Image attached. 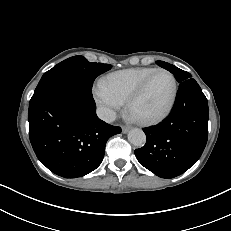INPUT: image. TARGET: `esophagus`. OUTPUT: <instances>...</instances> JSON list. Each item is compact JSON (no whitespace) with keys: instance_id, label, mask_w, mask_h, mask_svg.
Here are the masks:
<instances>
[{"instance_id":"esophagus-1","label":"esophagus","mask_w":231,"mask_h":231,"mask_svg":"<svg viewBox=\"0 0 231 231\" xmlns=\"http://www.w3.org/2000/svg\"><path fill=\"white\" fill-rule=\"evenodd\" d=\"M129 130H130V128L127 127V126H123V127H122V133H123V134H126Z\"/></svg>"}]
</instances>
